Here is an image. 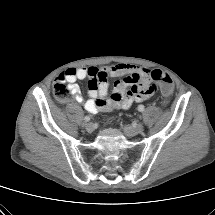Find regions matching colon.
<instances>
[{
  "mask_svg": "<svg viewBox=\"0 0 215 215\" xmlns=\"http://www.w3.org/2000/svg\"><path fill=\"white\" fill-rule=\"evenodd\" d=\"M150 77L154 82L160 85L163 94L169 95L172 92V80L167 74L161 72L160 70H153L150 73ZM153 92L154 86H151L147 91H145V94H152ZM53 94L58 101L64 102L68 99L70 91L64 81L57 79L53 85Z\"/></svg>",
  "mask_w": 215,
  "mask_h": 215,
  "instance_id": "obj_1",
  "label": "colon"
}]
</instances>
